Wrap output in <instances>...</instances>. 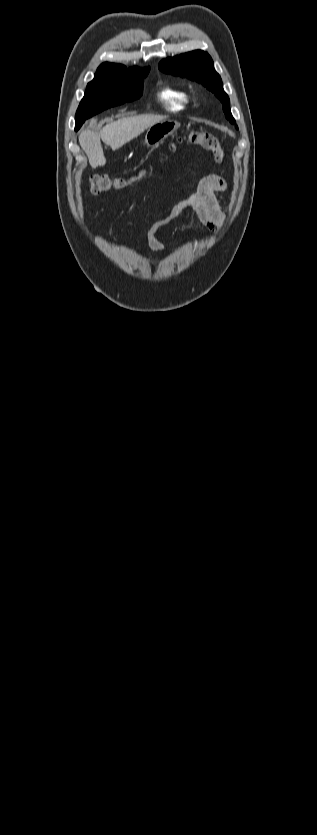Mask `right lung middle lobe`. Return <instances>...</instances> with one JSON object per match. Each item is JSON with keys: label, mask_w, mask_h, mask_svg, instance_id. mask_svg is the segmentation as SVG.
I'll return each instance as SVG.
<instances>
[{"label": "right lung middle lobe", "mask_w": 317, "mask_h": 835, "mask_svg": "<svg viewBox=\"0 0 317 835\" xmlns=\"http://www.w3.org/2000/svg\"><path fill=\"white\" fill-rule=\"evenodd\" d=\"M150 68L119 70L106 73L88 83L75 117V130L93 115L116 105L138 99L142 95L143 79Z\"/></svg>", "instance_id": "obj_1"}]
</instances>
